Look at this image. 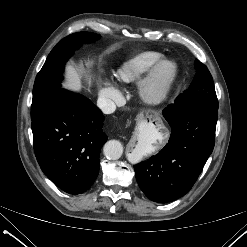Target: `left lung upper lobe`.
<instances>
[{
    "instance_id": "5c2ea615",
    "label": "left lung upper lobe",
    "mask_w": 247,
    "mask_h": 247,
    "mask_svg": "<svg viewBox=\"0 0 247 247\" xmlns=\"http://www.w3.org/2000/svg\"><path fill=\"white\" fill-rule=\"evenodd\" d=\"M195 68L197 72L192 83L187 90L175 99V102L186 98H200L209 104L218 107V99L209 70L198 59L195 61Z\"/></svg>"
}]
</instances>
